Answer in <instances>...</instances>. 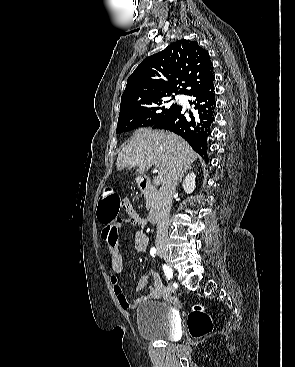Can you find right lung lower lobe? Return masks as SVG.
Masks as SVG:
<instances>
[{
  "instance_id": "1",
  "label": "right lung lower lobe",
  "mask_w": 295,
  "mask_h": 367,
  "mask_svg": "<svg viewBox=\"0 0 295 367\" xmlns=\"http://www.w3.org/2000/svg\"><path fill=\"white\" fill-rule=\"evenodd\" d=\"M213 81L214 78L186 94L193 97L189 103L195 105L194 112L189 111V116H185L186 111L180 106L152 126L154 129H166L182 136L207 161V139L216 106Z\"/></svg>"
}]
</instances>
